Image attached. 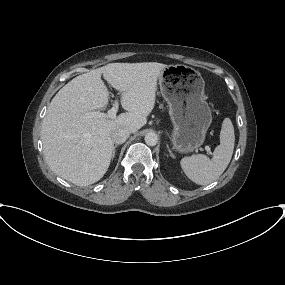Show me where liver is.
I'll return each mask as SVG.
<instances>
[{"label":"liver","instance_id":"liver-1","mask_svg":"<svg viewBox=\"0 0 285 285\" xmlns=\"http://www.w3.org/2000/svg\"><path fill=\"white\" fill-rule=\"evenodd\" d=\"M167 65L157 62L109 63L79 75L52 99L42 121L43 152L50 168L78 186L99 181L113 153L111 131H138L155 105L157 80ZM121 93L126 113L114 119L85 118L109 102V91L101 76Z\"/></svg>","mask_w":285,"mask_h":285}]
</instances>
